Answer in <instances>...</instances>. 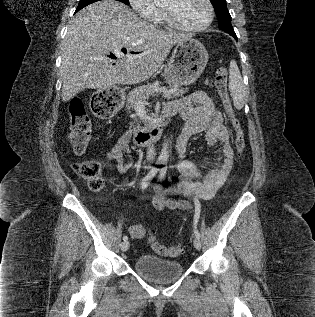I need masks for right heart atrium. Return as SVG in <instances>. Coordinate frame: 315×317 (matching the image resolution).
I'll use <instances>...</instances> for the list:
<instances>
[{
  "label": "right heart atrium",
  "mask_w": 315,
  "mask_h": 317,
  "mask_svg": "<svg viewBox=\"0 0 315 317\" xmlns=\"http://www.w3.org/2000/svg\"><path fill=\"white\" fill-rule=\"evenodd\" d=\"M133 10L143 19L157 21L161 11L152 0H129Z\"/></svg>",
  "instance_id": "1"
}]
</instances>
